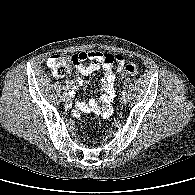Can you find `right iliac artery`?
Here are the masks:
<instances>
[{"label": "right iliac artery", "mask_w": 195, "mask_h": 195, "mask_svg": "<svg viewBox=\"0 0 195 195\" xmlns=\"http://www.w3.org/2000/svg\"><path fill=\"white\" fill-rule=\"evenodd\" d=\"M63 90H67L66 87H63Z\"/></svg>", "instance_id": "1"}]
</instances>
